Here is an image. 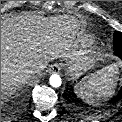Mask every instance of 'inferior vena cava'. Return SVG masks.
<instances>
[{
  "instance_id": "1",
  "label": "inferior vena cava",
  "mask_w": 122,
  "mask_h": 122,
  "mask_svg": "<svg viewBox=\"0 0 122 122\" xmlns=\"http://www.w3.org/2000/svg\"><path fill=\"white\" fill-rule=\"evenodd\" d=\"M47 65H48V62H39L38 64L35 65L33 72L40 73L47 67Z\"/></svg>"
}]
</instances>
